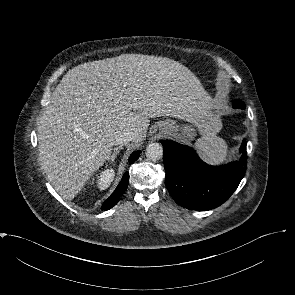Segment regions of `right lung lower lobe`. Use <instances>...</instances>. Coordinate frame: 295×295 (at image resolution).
Here are the masks:
<instances>
[{
    "instance_id": "right-lung-lower-lobe-1",
    "label": "right lung lower lobe",
    "mask_w": 295,
    "mask_h": 295,
    "mask_svg": "<svg viewBox=\"0 0 295 295\" xmlns=\"http://www.w3.org/2000/svg\"><path fill=\"white\" fill-rule=\"evenodd\" d=\"M141 151H135L132 153V155L129 158V162L130 164H132L133 162H135L140 154ZM128 183H129V173L128 171L125 172V174L123 175L122 180L120 181L119 185L117 186V188L115 189V191L112 193V195L104 202V204L102 205V210H108L110 208H112L114 205L117 204V202L120 200V197L124 194V192L126 191L127 187H128Z\"/></svg>"
}]
</instances>
